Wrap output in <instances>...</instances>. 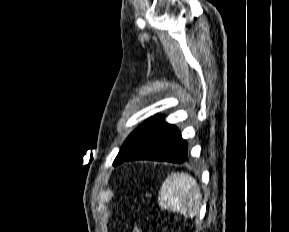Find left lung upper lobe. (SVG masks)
Here are the masks:
<instances>
[{"label": "left lung upper lobe", "instance_id": "1", "mask_svg": "<svg viewBox=\"0 0 289 232\" xmlns=\"http://www.w3.org/2000/svg\"><path fill=\"white\" fill-rule=\"evenodd\" d=\"M167 123L160 116L153 117L139 126L121 147L113 165L122 163L127 157L137 151L148 139L163 128Z\"/></svg>", "mask_w": 289, "mask_h": 232}]
</instances>
